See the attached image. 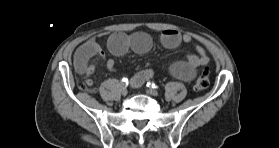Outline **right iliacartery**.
<instances>
[{
  "instance_id": "obj_1",
  "label": "right iliac artery",
  "mask_w": 279,
  "mask_h": 148,
  "mask_svg": "<svg viewBox=\"0 0 279 148\" xmlns=\"http://www.w3.org/2000/svg\"><path fill=\"white\" fill-rule=\"evenodd\" d=\"M128 85V79L127 78H123L122 81H121V86L123 88H126Z\"/></svg>"
}]
</instances>
